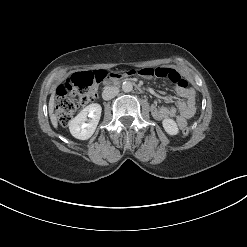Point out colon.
I'll use <instances>...</instances> for the list:
<instances>
[{"mask_svg":"<svg viewBox=\"0 0 247 247\" xmlns=\"http://www.w3.org/2000/svg\"><path fill=\"white\" fill-rule=\"evenodd\" d=\"M108 76L107 72H79L68 77L57 89L55 113L61 125L66 126L79 106L92 102L97 96L98 84ZM191 129L183 126V136H188Z\"/></svg>","mask_w":247,"mask_h":247,"instance_id":"1","label":"colon"}]
</instances>
